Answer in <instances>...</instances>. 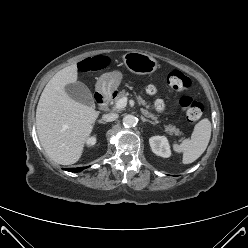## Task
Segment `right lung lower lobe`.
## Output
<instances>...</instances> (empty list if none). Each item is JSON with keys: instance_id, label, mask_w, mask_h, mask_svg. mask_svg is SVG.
<instances>
[{"instance_id": "obj_1", "label": "right lung lower lobe", "mask_w": 248, "mask_h": 248, "mask_svg": "<svg viewBox=\"0 0 248 248\" xmlns=\"http://www.w3.org/2000/svg\"><path fill=\"white\" fill-rule=\"evenodd\" d=\"M86 167H80V168H68V169H65L67 171H70V172H80L82 171L83 169H85Z\"/></svg>"}]
</instances>
